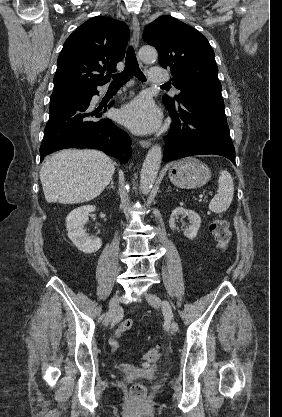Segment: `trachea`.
<instances>
[{"label": "trachea", "instance_id": "3493384b", "mask_svg": "<svg viewBox=\"0 0 282 417\" xmlns=\"http://www.w3.org/2000/svg\"><path fill=\"white\" fill-rule=\"evenodd\" d=\"M133 76L137 77L142 82L146 81L145 75L141 72L133 47H128L126 52V64L123 72L112 75V82L110 87H122ZM163 86H170V84H163Z\"/></svg>", "mask_w": 282, "mask_h": 417}]
</instances>
